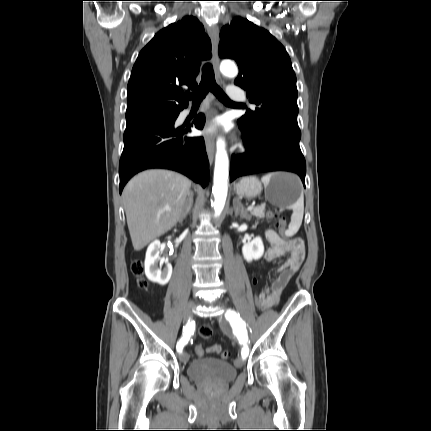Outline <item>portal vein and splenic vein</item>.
Segmentation results:
<instances>
[{"label": "portal vein and splenic vein", "mask_w": 431, "mask_h": 431, "mask_svg": "<svg viewBox=\"0 0 431 431\" xmlns=\"http://www.w3.org/2000/svg\"><path fill=\"white\" fill-rule=\"evenodd\" d=\"M253 208H254V206H253V205H251V206H249V207H248V209H247V210H248V211H251ZM166 211H171V209H170V208H167V209H166Z\"/></svg>", "instance_id": "obj_1"}]
</instances>
